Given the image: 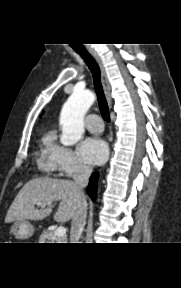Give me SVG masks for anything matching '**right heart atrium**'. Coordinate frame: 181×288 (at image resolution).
Listing matches in <instances>:
<instances>
[{
  "label": "right heart atrium",
  "mask_w": 181,
  "mask_h": 288,
  "mask_svg": "<svg viewBox=\"0 0 181 288\" xmlns=\"http://www.w3.org/2000/svg\"><path fill=\"white\" fill-rule=\"evenodd\" d=\"M53 170L60 176L72 177L90 171V166L71 148L54 145L51 151Z\"/></svg>",
  "instance_id": "1"
}]
</instances>
